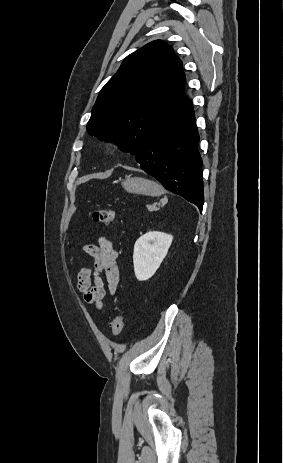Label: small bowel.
Wrapping results in <instances>:
<instances>
[{
    "mask_svg": "<svg viewBox=\"0 0 283 463\" xmlns=\"http://www.w3.org/2000/svg\"><path fill=\"white\" fill-rule=\"evenodd\" d=\"M84 252L94 259L93 268L82 267L77 276V289L84 299L101 307L106 294H115L120 271L117 264L118 254L110 240L101 237L97 244H87ZM105 275V280L102 278Z\"/></svg>",
    "mask_w": 283,
    "mask_h": 463,
    "instance_id": "c3829d8e",
    "label": "small bowel"
}]
</instances>
